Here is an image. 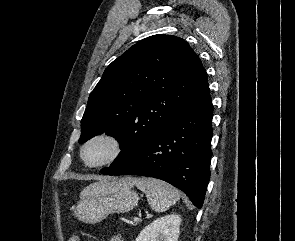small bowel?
<instances>
[{
  "instance_id": "small-bowel-1",
  "label": "small bowel",
  "mask_w": 295,
  "mask_h": 241,
  "mask_svg": "<svg viewBox=\"0 0 295 241\" xmlns=\"http://www.w3.org/2000/svg\"><path fill=\"white\" fill-rule=\"evenodd\" d=\"M71 239V238H70ZM70 239H69V241H70ZM112 241H118V240H112Z\"/></svg>"
}]
</instances>
